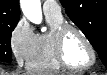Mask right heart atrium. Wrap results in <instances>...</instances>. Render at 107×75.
Wrapping results in <instances>:
<instances>
[{
	"mask_svg": "<svg viewBox=\"0 0 107 75\" xmlns=\"http://www.w3.org/2000/svg\"><path fill=\"white\" fill-rule=\"evenodd\" d=\"M36 39L29 22L22 18L14 26L10 35V49L19 66L27 64Z\"/></svg>",
	"mask_w": 107,
	"mask_h": 75,
	"instance_id": "right-heart-atrium-1",
	"label": "right heart atrium"
}]
</instances>
